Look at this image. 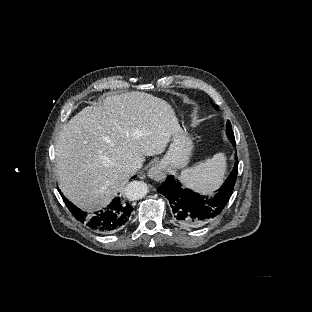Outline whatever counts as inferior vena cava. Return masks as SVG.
<instances>
[{"label": "inferior vena cava", "instance_id": "1", "mask_svg": "<svg viewBox=\"0 0 312 312\" xmlns=\"http://www.w3.org/2000/svg\"><path fill=\"white\" fill-rule=\"evenodd\" d=\"M143 160L137 159L135 160L128 168V173L134 175L139 169L142 168Z\"/></svg>", "mask_w": 312, "mask_h": 312}]
</instances>
